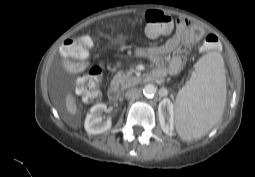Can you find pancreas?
I'll use <instances>...</instances> for the list:
<instances>
[{"instance_id": "1", "label": "pancreas", "mask_w": 255, "mask_h": 177, "mask_svg": "<svg viewBox=\"0 0 255 177\" xmlns=\"http://www.w3.org/2000/svg\"><path fill=\"white\" fill-rule=\"evenodd\" d=\"M139 78L132 76L131 74H125L124 72H118L113 80L111 81V85L117 89L125 90L131 86L139 83Z\"/></svg>"}]
</instances>
